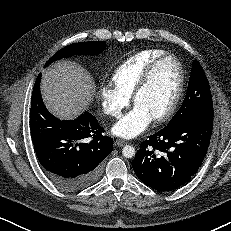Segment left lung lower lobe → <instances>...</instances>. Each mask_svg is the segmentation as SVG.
<instances>
[{"instance_id": "1", "label": "left lung lower lobe", "mask_w": 231, "mask_h": 231, "mask_svg": "<svg viewBox=\"0 0 231 231\" xmlns=\"http://www.w3.org/2000/svg\"><path fill=\"white\" fill-rule=\"evenodd\" d=\"M213 115L189 114L149 136L132 167L137 177L158 191H173L188 182L209 147Z\"/></svg>"}]
</instances>
